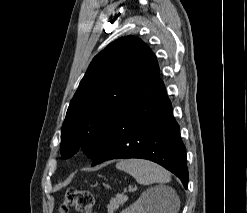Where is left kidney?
Segmentation results:
<instances>
[{
  "label": "left kidney",
  "instance_id": "1",
  "mask_svg": "<svg viewBox=\"0 0 247 213\" xmlns=\"http://www.w3.org/2000/svg\"><path fill=\"white\" fill-rule=\"evenodd\" d=\"M121 213H159V196L156 191L147 190L140 198Z\"/></svg>",
  "mask_w": 247,
  "mask_h": 213
}]
</instances>
